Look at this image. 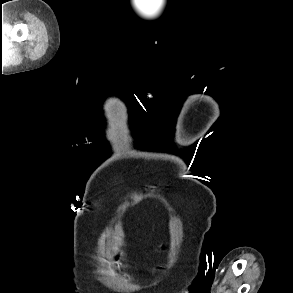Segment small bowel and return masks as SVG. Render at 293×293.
<instances>
[{
  "label": "small bowel",
  "mask_w": 293,
  "mask_h": 293,
  "mask_svg": "<svg viewBox=\"0 0 293 293\" xmlns=\"http://www.w3.org/2000/svg\"><path fill=\"white\" fill-rule=\"evenodd\" d=\"M159 250H165L166 246L164 244H161L157 247ZM115 266H117V263H115Z\"/></svg>",
  "instance_id": "small-bowel-1"
}]
</instances>
